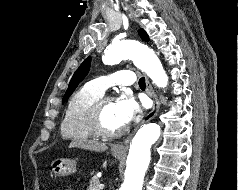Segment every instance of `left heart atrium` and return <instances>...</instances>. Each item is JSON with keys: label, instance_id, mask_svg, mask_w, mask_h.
<instances>
[{"label": "left heart atrium", "instance_id": "39dd6f15", "mask_svg": "<svg viewBox=\"0 0 238 190\" xmlns=\"http://www.w3.org/2000/svg\"><path fill=\"white\" fill-rule=\"evenodd\" d=\"M117 102L120 115L125 123L132 121L141 112L140 105L131 95L122 96Z\"/></svg>", "mask_w": 238, "mask_h": 190}]
</instances>
